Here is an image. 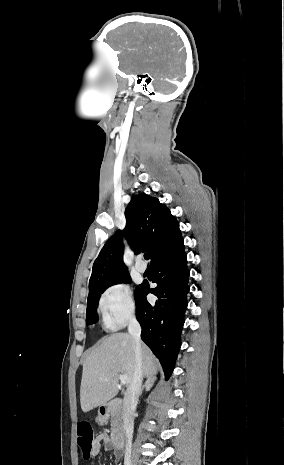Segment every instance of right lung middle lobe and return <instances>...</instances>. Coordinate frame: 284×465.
<instances>
[{"label": "right lung middle lobe", "instance_id": "obj_1", "mask_svg": "<svg viewBox=\"0 0 284 465\" xmlns=\"http://www.w3.org/2000/svg\"><path fill=\"white\" fill-rule=\"evenodd\" d=\"M130 283L131 280L129 278V276L127 277H124V278H120L110 284H108L107 286L91 293L90 295H88V301H87V310H86V323L87 324H92V323H96L98 318H97V306H98V301H99V298L101 296V294L109 287V286H112V285H115V284H119V283ZM139 285H137L135 287V291L138 289ZM134 291V292H135Z\"/></svg>", "mask_w": 284, "mask_h": 465}]
</instances>
